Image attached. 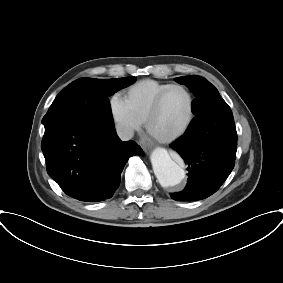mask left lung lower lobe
Instances as JSON below:
<instances>
[{"instance_id":"1","label":"left lung lower lobe","mask_w":283,"mask_h":283,"mask_svg":"<svg viewBox=\"0 0 283 283\" xmlns=\"http://www.w3.org/2000/svg\"><path fill=\"white\" fill-rule=\"evenodd\" d=\"M211 103L213 105L208 109L196 111L186 133L170 145L183 158L189 171L185 189L171 194L174 200H201L209 197L219 189L234 168L237 143L210 138L214 128L221 127L226 121L221 117L226 113L227 103L221 97Z\"/></svg>"}]
</instances>
